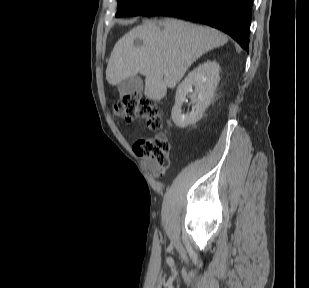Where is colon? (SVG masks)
<instances>
[{"mask_svg":"<svg viewBox=\"0 0 309 288\" xmlns=\"http://www.w3.org/2000/svg\"><path fill=\"white\" fill-rule=\"evenodd\" d=\"M114 114L124 120H144L147 125L160 130L163 126V114L156 100L139 93L126 94L114 104ZM135 151L145 160L150 174L162 176L170 166L171 145L168 136L160 132L153 137L138 140Z\"/></svg>","mask_w":309,"mask_h":288,"instance_id":"colon-1","label":"colon"}]
</instances>
